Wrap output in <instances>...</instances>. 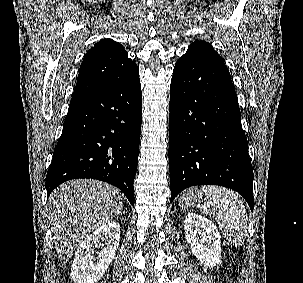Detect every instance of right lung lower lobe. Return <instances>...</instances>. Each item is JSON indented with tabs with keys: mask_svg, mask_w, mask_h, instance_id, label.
Here are the masks:
<instances>
[{
	"mask_svg": "<svg viewBox=\"0 0 303 283\" xmlns=\"http://www.w3.org/2000/svg\"><path fill=\"white\" fill-rule=\"evenodd\" d=\"M142 121L139 74L106 91L71 100L45 187L92 178L118 187L134 206Z\"/></svg>",
	"mask_w": 303,
	"mask_h": 283,
	"instance_id": "obj_1",
	"label": "right lung lower lobe"
}]
</instances>
